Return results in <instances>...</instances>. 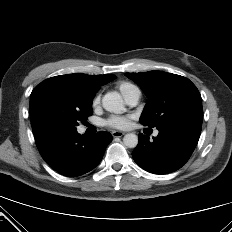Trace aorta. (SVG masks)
Listing matches in <instances>:
<instances>
[{
	"label": "aorta",
	"instance_id": "aorta-1",
	"mask_svg": "<svg viewBox=\"0 0 232 232\" xmlns=\"http://www.w3.org/2000/svg\"><path fill=\"white\" fill-rule=\"evenodd\" d=\"M102 105L106 111L115 114H122L126 111L123 99L117 92H109L102 98ZM123 143L128 148H135L138 144V136L128 133L123 137Z\"/></svg>",
	"mask_w": 232,
	"mask_h": 232
}]
</instances>
